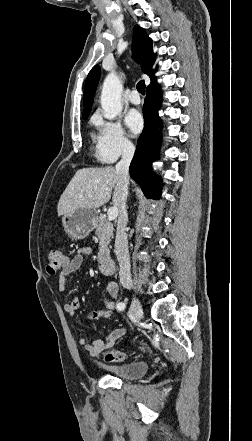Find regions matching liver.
Instances as JSON below:
<instances>
[{
    "label": "liver",
    "mask_w": 252,
    "mask_h": 441,
    "mask_svg": "<svg viewBox=\"0 0 252 441\" xmlns=\"http://www.w3.org/2000/svg\"><path fill=\"white\" fill-rule=\"evenodd\" d=\"M113 188L112 202L119 210L122 189L121 177L116 169L112 166L79 169L59 199L58 214L99 208L110 200Z\"/></svg>",
    "instance_id": "1"
}]
</instances>
